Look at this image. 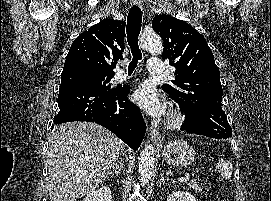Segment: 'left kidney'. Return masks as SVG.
<instances>
[{
	"instance_id": "1",
	"label": "left kidney",
	"mask_w": 271,
	"mask_h": 201,
	"mask_svg": "<svg viewBox=\"0 0 271 201\" xmlns=\"http://www.w3.org/2000/svg\"><path fill=\"white\" fill-rule=\"evenodd\" d=\"M167 201H197L193 195L185 191H175L171 193Z\"/></svg>"
}]
</instances>
